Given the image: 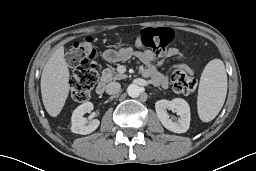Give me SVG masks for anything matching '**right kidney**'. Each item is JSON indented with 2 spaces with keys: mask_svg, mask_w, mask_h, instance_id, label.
I'll list each match as a JSON object with an SVG mask.
<instances>
[{
  "mask_svg": "<svg viewBox=\"0 0 256 171\" xmlns=\"http://www.w3.org/2000/svg\"><path fill=\"white\" fill-rule=\"evenodd\" d=\"M94 106L91 102H85L79 105L73 112L71 117V131L76 134L86 135L95 131L100 122L97 119L92 120L87 124V119L84 117V114L90 113L93 110Z\"/></svg>",
  "mask_w": 256,
  "mask_h": 171,
  "instance_id": "right-kidney-1",
  "label": "right kidney"
}]
</instances>
